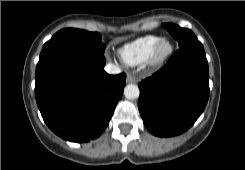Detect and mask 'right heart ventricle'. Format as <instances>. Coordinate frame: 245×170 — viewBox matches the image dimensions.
I'll return each mask as SVG.
<instances>
[{
  "label": "right heart ventricle",
  "instance_id": "right-heart-ventricle-1",
  "mask_svg": "<svg viewBox=\"0 0 245 170\" xmlns=\"http://www.w3.org/2000/svg\"><path fill=\"white\" fill-rule=\"evenodd\" d=\"M161 38L146 35L137 38L118 50L120 58L128 65H138L149 60V57Z\"/></svg>",
  "mask_w": 245,
  "mask_h": 170
}]
</instances>
